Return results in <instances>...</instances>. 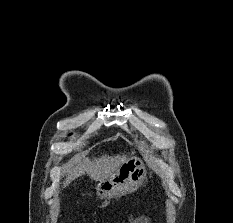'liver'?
Returning a JSON list of instances; mask_svg holds the SVG:
<instances>
[{
  "label": "liver",
  "mask_w": 233,
  "mask_h": 223,
  "mask_svg": "<svg viewBox=\"0 0 233 223\" xmlns=\"http://www.w3.org/2000/svg\"><path fill=\"white\" fill-rule=\"evenodd\" d=\"M126 155H100V157H71L68 163L64 165L65 177L64 185L71 183L76 177L87 173L91 179H102L108 177L115 171L121 161H125Z\"/></svg>",
  "instance_id": "6515ba94"
}]
</instances>
